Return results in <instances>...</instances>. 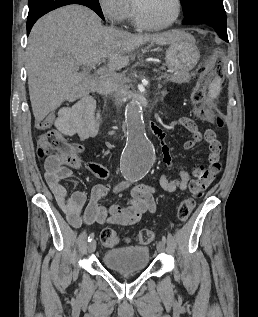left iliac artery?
Returning a JSON list of instances; mask_svg holds the SVG:
<instances>
[{"mask_svg": "<svg viewBox=\"0 0 258 317\" xmlns=\"http://www.w3.org/2000/svg\"><path fill=\"white\" fill-rule=\"evenodd\" d=\"M139 179H140L139 177H134V178H133L134 181H138ZM162 241H163L164 244L167 243V239H166V236H165V235H162Z\"/></svg>", "mask_w": 258, "mask_h": 317, "instance_id": "44dca946", "label": "left iliac artery"}]
</instances>
